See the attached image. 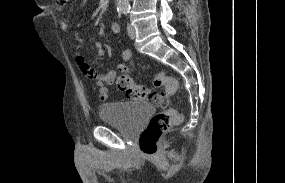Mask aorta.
<instances>
[{
    "label": "aorta",
    "instance_id": "1",
    "mask_svg": "<svg viewBox=\"0 0 285 183\" xmlns=\"http://www.w3.org/2000/svg\"><path fill=\"white\" fill-rule=\"evenodd\" d=\"M117 9L123 10L129 7V0H116Z\"/></svg>",
    "mask_w": 285,
    "mask_h": 183
}]
</instances>
